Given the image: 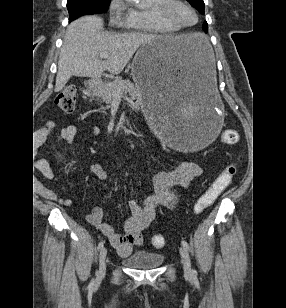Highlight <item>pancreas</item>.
Returning a JSON list of instances; mask_svg holds the SVG:
<instances>
[{"label":"pancreas","instance_id":"pancreas-1","mask_svg":"<svg viewBox=\"0 0 286 308\" xmlns=\"http://www.w3.org/2000/svg\"><path fill=\"white\" fill-rule=\"evenodd\" d=\"M127 93L133 99H140L142 97V91L137 85L129 80L118 78L107 85L99 87L98 95L105 103L110 104L117 96Z\"/></svg>","mask_w":286,"mask_h":308}]
</instances>
